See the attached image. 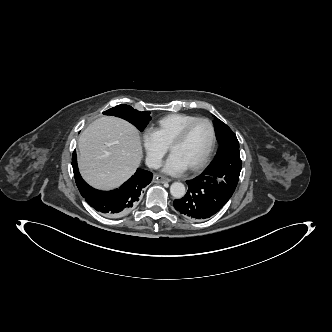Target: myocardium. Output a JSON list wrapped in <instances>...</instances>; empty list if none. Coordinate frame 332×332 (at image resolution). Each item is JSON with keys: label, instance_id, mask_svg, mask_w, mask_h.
<instances>
[{"label": "myocardium", "instance_id": "myocardium-1", "mask_svg": "<svg viewBox=\"0 0 332 332\" xmlns=\"http://www.w3.org/2000/svg\"><path fill=\"white\" fill-rule=\"evenodd\" d=\"M198 122H206L209 124V126L211 128V132H212V138H211V142H210V145H209L207 151L201 157V159L199 161H197L191 167L187 168L191 172H196V171L200 170L207 163V161L209 160V158L211 157V155L214 151L216 141H217V131H216V128H215V125L213 124V122L210 119L205 118V117H198V118L188 122L185 126L182 127V129L178 132V134L175 136V138L172 140V142L169 145V151L172 152L174 147L178 146L179 144H181L184 141V139L186 138L191 127Z\"/></svg>", "mask_w": 332, "mask_h": 332}]
</instances>
